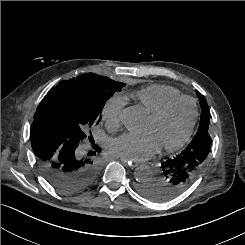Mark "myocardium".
<instances>
[{"label": "myocardium", "instance_id": "f54148a6", "mask_svg": "<svg viewBox=\"0 0 245 245\" xmlns=\"http://www.w3.org/2000/svg\"><path fill=\"white\" fill-rule=\"evenodd\" d=\"M181 101H189L192 106H193V115H192V119L191 122L188 126L187 131L185 132V134L183 135V137L177 141L176 143L172 144V145H168V146H163L160 149L163 151H167V152H172V151H176L180 148H182L185 144L188 143V141L190 140L193 131L195 129L198 117H199V108H198V103L197 100L194 97L191 96H186V95H182L179 97H175L172 98L168 101H166L164 104H162L158 109H156L155 111L151 112L149 114V118L152 120H158L160 119L173 105H175L178 102Z\"/></svg>", "mask_w": 245, "mask_h": 245}]
</instances>
